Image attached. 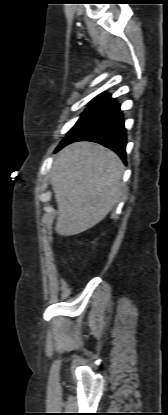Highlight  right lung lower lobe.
<instances>
[{"label": "right lung lower lobe", "mask_w": 168, "mask_h": 415, "mask_svg": "<svg viewBox=\"0 0 168 415\" xmlns=\"http://www.w3.org/2000/svg\"><path fill=\"white\" fill-rule=\"evenodd\" d=\"M76 141H92L116 152L126 162V129L120 105L104 94L93 100L55 152Z\"/></svg>", "instance_id": "1"}]
</instances>
